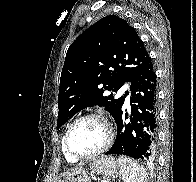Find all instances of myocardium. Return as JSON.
I'll use <instances>...</instances> for the list:
<instances>
[{
    "label": "myocardium",
    "mask_w": 196,
    "mask_h": 182,
    "mask_svg": "<svg viewBox=\"0 0 196 182\" xmlns=\"http://www.w3.org/2000/svg\"><path fill=\"white\" fill-rule=\"evenodd\" d=\"M88 119L97 120L102 124V126L104 127V130H105V140H104L102 146L98 150L94 151L93 153L88 154V155H78V154L72 152L69 148V144H68L69 135H70L71 130L78 123H80L84 120H88ZM113 137H114V134H113L112 125L106 117H104L102 114L96 113V112L86 113L84 115H81L77 119H75L66 129L64 137H63V149L69 157H71L75 160H89V159H93L95 157H98L101 154H103L105 151H107L113 142Z\"/></svg>",
    "instance_id": "f54148a6"
}]
</instances>
